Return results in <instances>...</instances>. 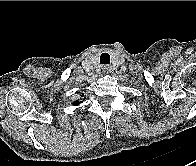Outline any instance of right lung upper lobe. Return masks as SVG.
I'll return each instance as SVG.
<instances>
[{"label":"right lung upper lobe","mask_w":196,"mask_h":166,"mask_svg":"<svg viewBox=\"0 0 196 166\" xmlns=\"http://www.w3.org/2000/svg\"><path fill=\"white\" fill-rule=\"evenodd\" d=\"M82 96H84V94H82ZM73 104L74 105H78V104H80V102L79 101H75Z\"/></svg>","instance_id":"1"}]
</instances>
